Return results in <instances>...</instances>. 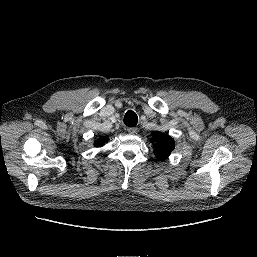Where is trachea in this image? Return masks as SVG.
Wrapping results in <instances>:
<instances>
[{
	"label": "trachea",
	"mask_w": 257,
	"mask_h": 257,
	"mask_svg": "<svg viewBox=\"0 0 257 257\" xmlns=\"http://www.w3.org/2000/svg\"><path fill=\"white\" fill-rule=\"evenodd\" d=\"M137 122H138V117H137L136 113L132 110L127 111L124 116L125 125H127L129 127H134L137 125Z\"/></svg>",
	"instance_id": "trachea-1"
}]
</instances>
